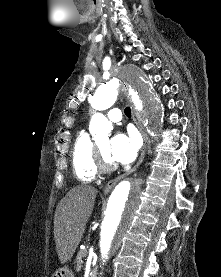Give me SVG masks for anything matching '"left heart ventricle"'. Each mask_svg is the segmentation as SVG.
I'll return each instance as SVG.
<instances>
[{
    "label": "left heart ventricle",
    "mask_w": 221,
    "mask_h": 277,
    "mask_svg": "<svg viewBox=\"0 0 221 277\" xmlns=\"http://www.w3.org/2000/svg\"><path fill=\"white\" fill-rule=\"evenodd\" d=\"M98 146L99 148L101 149V151L103 152L105 158L110 161V162H113L110 157H109V154H108V146H109V142L106 140V141H102L100 143H98Z\"/></svg>",
    "instance_id": "obj_1"
}]
</instances>
